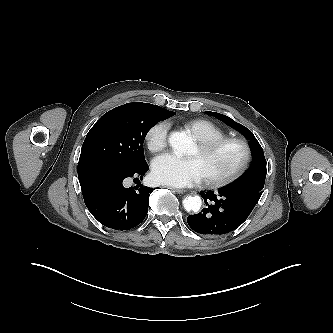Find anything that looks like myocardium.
I'll use <instances>...</instances> for the list:
<instances>
[{"instance_id":"1","label":"myocardium","mask_w":333,"mask_h":333,"mask_svg":"<svg viewBox=\"0 0 333 333\" xmlns=\"http://www.w3.org/2000/svg\"><path fill=\"white\" fill-rule=\"evenodd\" d=\"M225 146H236L240 151L238 164L227 174L221 177H204V181L211 187H223L238 179L247 169L251 160V150L248 143L238 137L225 136L219 139L200 141L198 149L202 154H208Z\"/></svg>"}]
</instances>
